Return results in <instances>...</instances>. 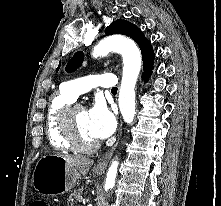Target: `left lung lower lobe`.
Masks as SVG:
<instances>
[{
  "mask_svg": "<svg viewBox=\"0 0 221 206\" xmlns=\"http://www.w3.org/2000/svg\"><path fill=\"white\" fill-rule=\"evenodd\" d=\"M151 74V73H150ZM150 74L143 75L144 80H147Z\"/></svg>",
  "mask_w": 221,
  "mask_h": 206,
  "instance_id": "1",
  "label": "left lung lower lobe"
}]
</instances>
